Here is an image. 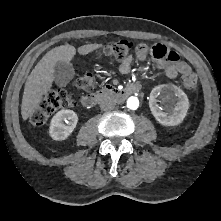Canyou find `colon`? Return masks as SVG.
<instances>
[{"label":"colon","instance_id":"obj_1","mask_svg":"<svg viewBox=\"0 0 221 221\" xmlns=\"http://www.w3.org/2000/svg\"><path fill=\"white\" fill-rule=\"evenodd\" d=\"M133 48L134 44L132 41L120 40L106 45L101 50V54L117 60H124L130 56ZM182 83L187 90L195 91L198 86L197 76L192 72L184 74L182 76ZM76 85L85 92H91L95 86V78L90 73L84 74L77 79ZM74 104L75 101L69 92L65 90L50 91L32 113L30 122L33 126H42L55 111L71 107Z\"/></svg>","mask_w":221,"mask_h":221}]
</instances>
